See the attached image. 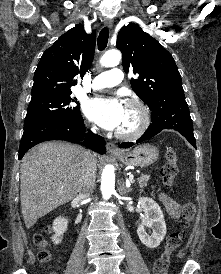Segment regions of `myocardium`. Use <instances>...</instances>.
<instances>
[{"instance_id":"myocardium-1","label":"myocardium","mask_w":221,"mask_h":274,"mask_svg":"<svg viewBox=\"0 0 221 274\" xmlns=\"http://www.w3.org/2000/svg\"><path fill=\"white\" fill-rule=\"evenodd\" d=\"M126 107L134 108L139 115L138 124L131 130H117L116 136L124 140H134L139 138L149 127L151 122L150 111L147 105L139 99H128Z\"/></svg>"}]
</instances>
